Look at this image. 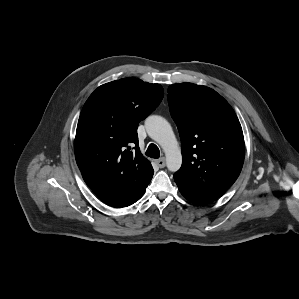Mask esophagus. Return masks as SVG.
Listing matches in <instances>:
<instances>
[{
	"label": "esophagus",
	"instance_id": "1",
	"mask_svg": "<svg viewBox=\"0 0 299 299\" xmlns=\"http://www.w3.org/2000/svg\"><path fill=\"white\" fill-rule=\"evenodd\" d=\"M156 164H157L160 168L165 167V164H166V162H165V158H160V159L156 160Z\"/></svg>",
	"mask_w": 299,
	"mask_h": 299
}]
</instances>
